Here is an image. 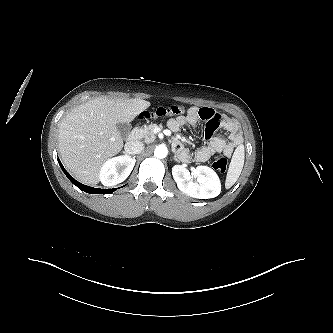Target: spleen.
I'll return each instance as SVG.
<instances>
[{
  "instance_id": "obj_1",
  "label": "spleen",
  "mask_w": 333,
  "mask_h": 333,
  "mask_svg": "<svg viewBox=\"0 0 333 333\" xmlns=\"http://www.w3.org/2000/svg\"><path fill=\"white\" fill-rule=\"evenodd\" d=\"M244 148L238 147L231 159L226 176L225 186L229 189L238 180L244 166Z\"/></svg>"
}]
</instances>
